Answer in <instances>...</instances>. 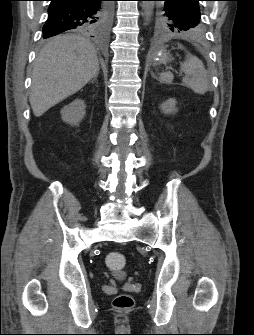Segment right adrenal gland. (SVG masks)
I'll return each instance as SVG.
<instances>
[{
    "label": "right adrenal gland",
    "mask_w": 254,
    "mask_h": 335,
    "mask_svg": "<svg viewBox=\"0 0 254 335\" xmlns=\"http://www.w3.org/2000/svg\"><path fill=\"white\" fill-rule=\"evenodd\" d=\"M96 79H97V75L94 76V78H93V80H92V83H93L94 81H96Z\"/></svg>",
    "instance_id": "1"
}]
</instances>
